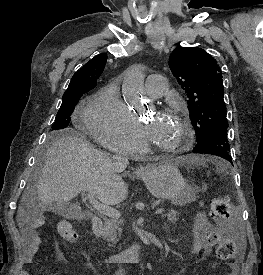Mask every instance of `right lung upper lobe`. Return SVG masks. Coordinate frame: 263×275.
Instances as JSON below:
<instances>
[{"mask_svg":"<svg viewBox=\"0 0 263 275\" xmlns=\"http://www.w3.org/2000/svg\"><path fill=\"white\" fill-rule=\"evenodd\" d=\"M107 61V54H99L86 63L72 77L70 84L64 94L88 89L91 90L96 86V81L103 72Z\"/></svg>","mask_w":263,"mask_h":275,"instance_id":"1","label":"right lung upper lobe"}]
</instances>
